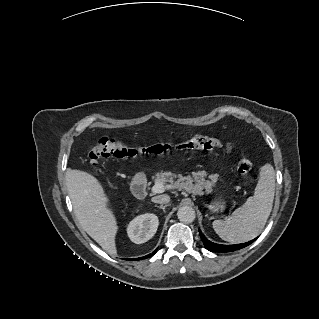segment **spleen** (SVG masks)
Returning a JSON list of instances; mask_svg holds the SVG:
<instances>
[{"label": "spleen", "instance_id": "1", "mask_svg": "<svg viewBox=\"0 0 319 319\" xmlns=\"http://www.w3.org/2000/svg\"><path fill=\"white\" fill-rule=\"evenodd\" d=\"M275 171L272 165L261 167L260 178L244 205L225 220H215L213 228L225 241L241 243L255 238L264 228L273 206Z\"/></svg>", "mask_w": 319, "mask_h": 319}]
</instances>
